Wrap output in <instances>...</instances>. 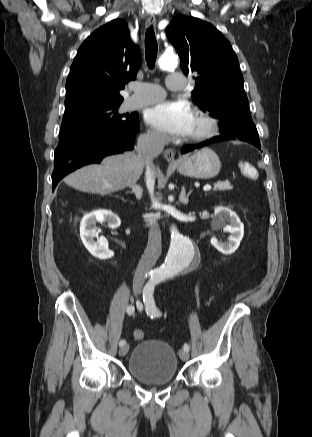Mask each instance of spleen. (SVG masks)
<instances>
[{
  "label": "spleen",
  "instance_id": "obj_1",
  "mask_svg": "<svg viewBox=\"0 0 312 437\" xmlns=\"http://www.w3.org/2000/svg\"><path fill=\"white\" fill-rule=\"evenodd\" d=\"M239 167H240V169H241L243 172L249 174V175L252 176L253 178H256V177H257L256 172H253V171L251 170L249 164H247V163H243V162H239Z\"/></svg>",
  "mask_w": 312,
  "mask_h": 437
}]
</instances>
